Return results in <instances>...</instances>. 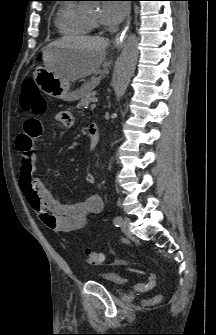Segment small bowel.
Instances as JSON below:
<instances>
[{"label":"small bowel","instance_id":"c3829d8e","mask_svg":"<svg viewBox=\"0 0 216 335\" xmlns=\"http://www.w3.org/2000/svg\"><path fill=\"white\" fill-rule=\"evenodd\" d=\"M57 121L65 127L71 126L72 114L61 111L56 116ZM44 120L29 119L25 122L23 132L18 136L16 145L21 153L20 188L31 210L41 222L55 232L68 233L82 229L92 214L100 213L103 203L98 195H90L76 203H63L54 198L43 182L35 176V154L33 145L41 135ZM97 142L90 140L91 149ZM95 177L88 173L85 182L95 184Z\"/></svg>","mask_w":216,"mask_h":335}]
</instances>
